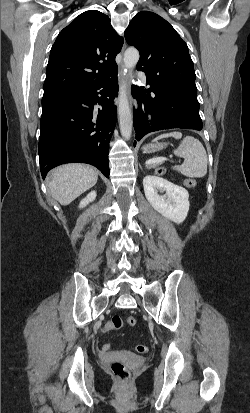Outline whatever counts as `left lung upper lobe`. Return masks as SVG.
<instances>
[{
    "label": "left lung upper lobe",
    "mask_w": 250,
    "mask_h": 413,
    "mask_svg": "<svg viewBox=\"0 0 250 413\" xmlns=\"http://www.w3.org/2000/svg\"><path fill=\"white\" fill-rule=\"evenodd\" d=\"M124 35L127 43L140 52L137 70L144 71L151 81L174 80L180 85L195 83L188 46L162 17L149 11L139 12Z\"/></svg>",
    "instance_id": "1"
}]
</instances>
